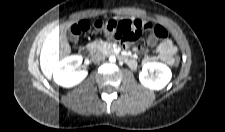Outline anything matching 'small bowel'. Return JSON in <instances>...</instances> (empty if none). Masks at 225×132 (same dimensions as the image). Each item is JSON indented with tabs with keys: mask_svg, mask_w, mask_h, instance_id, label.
I'll return each instance as SVG.
<instances>
[{
	"mask_svg": "<svg viewBox=\"0 0 225 132\" xmlns=\"http://www.w3.org/2000/svg\"><path fill=\"white\" fill-rule=\"evenodd\" d=\"M112 22L115 24V26L119 29L121 32L126 31H134L137 28L141 27L145 30H151L155 27L161 26H154L149 21H143L140 19H123L120 21L112 20ZM164 29V28H163ZM156 43L155 37H149V45L154 46ZM124 48H128L129 45L127 43L123 44ZM135 52L139 51V48L133 49ZM157 55L150 53L147 55L146 59L147 61H154L157 58L161 61L165 62L166 64L173 65L175 64V58L177 53V47L173 44V42L170 39L165 38L157 47H156ZM129 65L130 67L134 68L136 67V61L134 59H129Z\"/></svg>",
	"mask_w": 225,
	"mask_h": 132,
	"instance_id": "obj_1",
	"label": "small bowel"
}]
</instances>
